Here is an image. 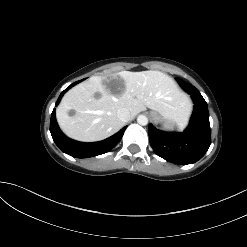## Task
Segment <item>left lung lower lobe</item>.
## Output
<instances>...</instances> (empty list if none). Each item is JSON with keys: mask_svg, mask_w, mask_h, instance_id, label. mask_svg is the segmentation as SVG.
<instances>
[{"mask_svg": "<svg viewBox=\"0 0 247 247\" xmlns=\"http://www.w3.org/2000/svg\"><path fill=\"white\" fill-rule=\"evenodd\" d=\"M176 80L194 102L189 126L182 133H173L157 130L150 124L149 141L154 152L166 161L192 164L204 156L211 144L208 107L193 85L179 78Z\"/></svg>", "mask_w": 247, "mask_h": 247, "instance_id": "obj_1", "label": "left lung lower lobe"}]
</instances>
